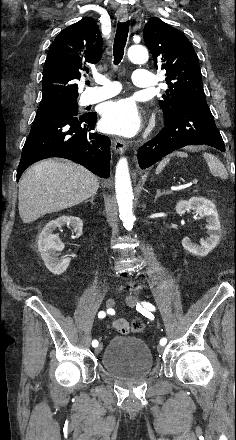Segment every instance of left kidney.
I'll use <instances>...</instances> for the list:
<instances>
[{
	"label": "left kidney",
	"instance_id": "obj_1",
	"mask_svg": "<svg viewBox=\"0 0 236 440\" xmlns=\"http://www.w3.org/2000/svg\"><path fill=\"white\" fill-rule=\"evenodd\" d=\"M175 209L179 215L193 210L196 214L206 217L208 223L206 229L209 235L206 240L201 241L200 245L192 243L188 237H184L182 240L184 249L197 256H206L218 245L220 240L221 225L215 205L206 198L192 197L188 201L178 202Z\"/></svg>",
	"mask_w": 236,
	"mask_h": 440
}]
</instances>
